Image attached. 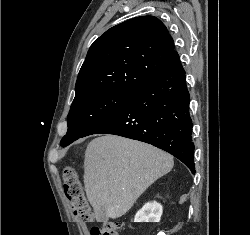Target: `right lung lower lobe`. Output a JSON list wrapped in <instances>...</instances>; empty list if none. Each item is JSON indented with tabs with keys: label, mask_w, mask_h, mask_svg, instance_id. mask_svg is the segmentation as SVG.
<instances>
[{
	"label": "right lung lower lobe",
	"mask_w": 250,
	"mask_h": 235,
	"mask_svg": "<svg viewBox=\"0 0 250 235\" xmlns=\"http://www.w3.org/2000/svg\"><path fill=\"white\" fill-rule=\"evenodd\" d=\"M189 101L185 71L176 52L160 74L137 89L117 111L83 137L106 133L143 141L169 152L194 174Z\"/></svg>",
	"instance_id": "98d812e1"
}]
</instances>
